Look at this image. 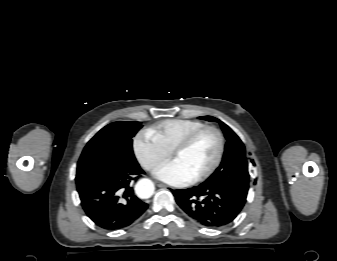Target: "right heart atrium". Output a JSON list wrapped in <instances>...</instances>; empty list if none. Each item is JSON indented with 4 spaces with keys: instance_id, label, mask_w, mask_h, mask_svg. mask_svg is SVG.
<instances>
[{
    "instance_id": "right-heart-atrium-1",
    "label": "right heart atrium",
    "mask_w": 337,
    "mask_h": 261,
    "mask_svg": "<svg viewBox=\"0 0 337 261\" xmlns=\"http://www.w3.org/2000/svg\"><path fill=\"white\" fill-rule=\"evenodd\" d=\"M133 148L138 161L148 171L155 170L170 157V153L149 131H141L136 135Z\"/></svg>"
}]
</instances>
